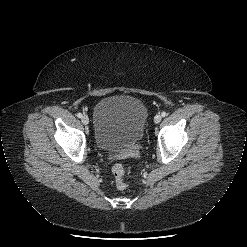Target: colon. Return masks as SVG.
<instances>
[{"mask_svg": "<svg viewBox=\"0 0 247 247\" xmlns=\"http://www.w3.org/2000/svg\"><path fill=\"white\" fill-rule=\"evenodd\" d=\"M112 173L115 179L116 187L120 190L126 188V179H125V168L121 164H115L112 167Z\"/></svg>", "mask_w": 247, "mask_h": 247, "instance_id": "obj_1", "label": "colon"}]
</instances>
